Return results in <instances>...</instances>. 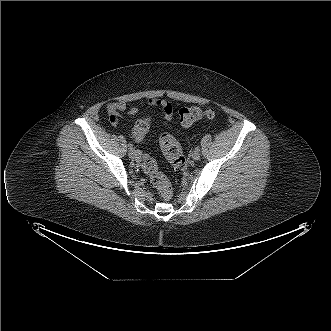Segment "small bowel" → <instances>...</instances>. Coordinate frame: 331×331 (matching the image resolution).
<instances>
[{
    "label": "small bowel",
    "instance_id": "c3829d8e",
    "mask_svg": "<svg viewBox=\"0 0 331 331\" xmlns=\"http://www.w3.org/2000/svg\"><path fill=\"white\" fill-rule=\"evenodd\" d=\"M147 104L150 107L161 109L166 120L170 121L173 119L174 107L169 101L162 98H151L148 100ZM106 109L109 116V121L113 126H116L120 118H122L124 115L133 116L138 111L135 106L128 105L122 101L111 102L107 105ZM132 136L135 138L133 133Z\"/></svg>",
    "mask_w": 331,
    "mask_h": 331
}]
</instances>
